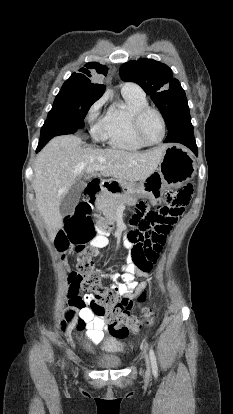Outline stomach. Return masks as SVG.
<instances>
[{
    "mask_svg": "<svg viewBox=\"0 0 233 414\" xmlns=\"http://www.w3.org/2000/svg\"><path fill=\"white\" fill-rule=\"evenodd\" d=\"M195 163L190 153L180 147L167 146L159 168L147 174L140 184L120 182L116 193L127 202H135L147 197L153 204L156 197L163 195L166 186H179L188 181L194 174Z\"/></svg>",
    "mask_w": 233,
    "mask_h": 414,
    "instance_id": "0dacf381",
    "label": "stomach"
}]
</instances>
